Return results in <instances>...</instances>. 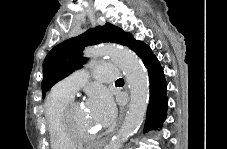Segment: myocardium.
<instances>
[{"label":"myocardium","mask_w":227,"mask_h":149,"mask_svg":"<svg viewBox=\"0 0 227 149\" xmlns=\"http://www.w3.org/2000/svg\"><path fill=\"white\" fill-rule=\"evenodd\" d=\"M80 106V102L71 101L62 112V125L65 134L77 144H88L97 138V134L85 135L77 132L73 126V113Z\"/></svg>","instance_id":"f54148a6"}]
</instances>
